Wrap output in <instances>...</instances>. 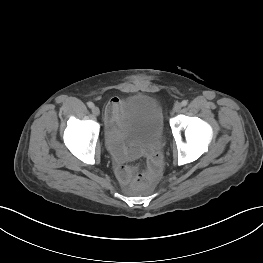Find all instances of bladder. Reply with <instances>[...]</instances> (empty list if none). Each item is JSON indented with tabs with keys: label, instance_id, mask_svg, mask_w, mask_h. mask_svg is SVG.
I'll return each mask as SVG.
<instances>
[{
	"label": "bladder",
	"instance_id": "bladder-1",
	"mask_svg": "<svg viewBox=\"0 0 263 263\" xmlns=\"http://www.w3.org/2000/svg\"><path fill=\"white\" fill-rule=\"evenodd\" d=\"M163 114L158 102L144 94L128 97L121 110L119 131L130 143L147 146L163 134Z\"/></svg>",
	"mask_w": 263,
	"mask_h": 263
}]
</instances>
